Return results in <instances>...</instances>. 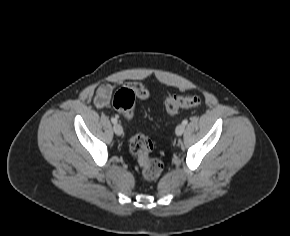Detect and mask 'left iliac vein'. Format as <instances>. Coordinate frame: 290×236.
<instances>
[{
	"mask_svg": "<svg viewBox=\"0 0 290 236\" xmlns=\"http://www.w3.org/2000/svg\"><path fill=\"white\" fill-rule=\"evenodd\" d=\"M185 131V125L183 124H179L176 129H175V132H176V135L178 136H181Z\"/></svg>",
	"mask_w": 290,
	"mask_h": 236,
	"instance_id": "1",
	"label": "left iliac vein"
}]
</instances>
